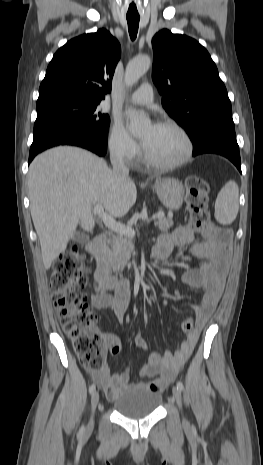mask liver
Here are the masks:
<instances>
[{
    "instance_id": "obj_1",
    "label": "liver",
    "mask_w": 263,
    "mask_h": 465,
    "mask_svg": "<svg viewBox=\"0 0 263 465\" xmlns=\"http://www.w3.org/2000/svg\"><path fill=\"white\" fill-rule=\"evenodd\" d=\"M28 191L45 269L65 251L78 225L93 230L92 206L121 217L137 198L131 179L118 178L102 158L70 146L50 149L32 161Z\"/></svg>"
}]
</instances>
